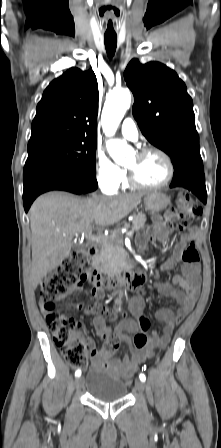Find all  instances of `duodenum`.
I'll use <instances>...</instances> for the list:
<instances>
[{
	"label": "duodenum",
	"mask_w": 221,
	"mask_h": 448,
	"mask_svg": "<svg viewBox=\"0 0 221 448\" xmlns=\"http://www.w3.org/2000/svg\"><path fill=\"white\" fill-rule=\"evenodd\" d=\"M90 259L94 267H98L100 252L97 248L92 247L89 250ZM143 275L138 272H133L129 269H123L111 274L106 275L103 282L99 281L101 288L105 291H109L112 287L116 285H123L129 288H136L142 282Z\"/></svg>",
	"instance_id": "obj_1"
}]
</instances>
